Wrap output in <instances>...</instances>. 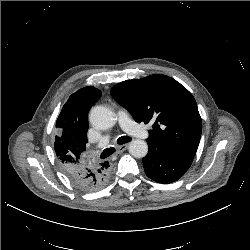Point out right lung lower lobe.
Masks as SVG:
<instances>
[{
  "instance_id": "1",
  "label": "right lung lower lobe",
  "mask_w": 250,
  "mask_h": 250,
  "mask_svg": "<svg viewBox=\"0 0 250 250\" xmlns=\"http://www.w3.org/2000/svg\"><path fill=\"white\" fill-rule=\"evenodd\" d=\"M109 162L98 165H84L77 168H63L65 175L78 188L84 191H94L102 188L109 179Z\"/></svg>"
}]
</instances>
